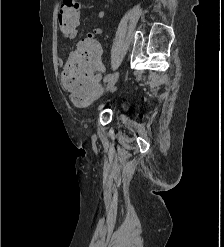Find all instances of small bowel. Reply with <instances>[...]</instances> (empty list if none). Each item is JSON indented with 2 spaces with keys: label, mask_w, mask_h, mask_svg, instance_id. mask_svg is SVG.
<instances>
[{
  "label": "small bowel",
  "mask_w": 224,
  "mask_h": 247,
  "mask_svg": "<svg viewBox=\"0 0 224 247\" xmlns=\"http://www.w3.org/2000/svg\"><path fill=\"white\" fill-rule=\"evenodd\" d=\"M105 15H106L105 12L102 10L97 13L98 18H100V19H103L105 17ZM102 32H103V29L101 27H95V28H93V30L91 32H89L87 34L86 38L84 40H82V42L89 41V40L90 41H96L95 36L101 34ZM76 35H77V29H74L70 33L69 37L74 38V37H76ZM58 64L59 65L63 64L62 59H58Z\"/></svg>",
  "instance_id": "1"
}]
</instances>
